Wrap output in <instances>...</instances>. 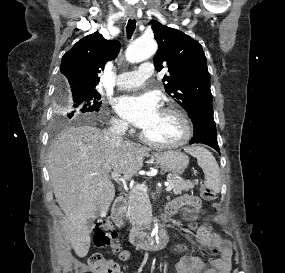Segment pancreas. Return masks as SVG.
I'll list each match as a JSON object with an SVG mask.
<instances>
[{"instance_id": "1", "label": "pancreas", "mask_w": 285, "mask_h": 273, "mask_svg": "<svg viewBox=\"0 0 285 273\" xmlns=\"http://www.w3.org/2000/svg\"><path fill=\"white\" fill-rule=\"evenodd\" d=\"M168 182L172 183L173 193L178 195L183 191H189L198 184V181H190L184 179H177L176 176L169 177ZM129 208L128 215L135 220L137 227H142L146 225V219L148 218L150 210V202L148 199V194L145 191L133 188L129 193Z\"/></svg>"}]
</instances>
